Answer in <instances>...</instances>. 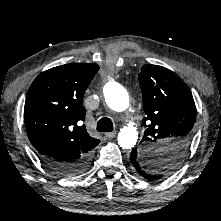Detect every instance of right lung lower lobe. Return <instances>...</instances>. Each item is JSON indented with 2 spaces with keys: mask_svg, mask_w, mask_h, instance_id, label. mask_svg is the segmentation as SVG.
<instances>
[{
  "mask_svg": "<svg viewBox=\"0 0 221 221\" xmlns=\"http://www.w3.org/2000/svg\"><path fill=\"white\" fill-rule=\"evenodd\" d=\"M42 162L52 171L61 176H70L85 171L91 164V156H86L79 161H56L41 157Z\"/></svg>",
  "mask_w": 221,
  "mask_h": 221,
  "instance_id": "98d812e1",
  "label": "right lung lower lobe"
}]
</instances>
